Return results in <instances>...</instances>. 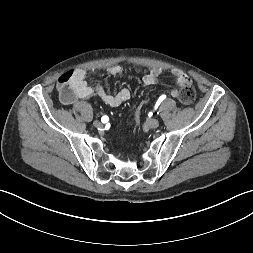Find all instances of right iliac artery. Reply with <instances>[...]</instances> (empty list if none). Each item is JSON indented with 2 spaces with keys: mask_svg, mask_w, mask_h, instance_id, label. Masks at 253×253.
Instances as JSON below:
<instances>
[{
  "mask_svg": "<svg viewBox=\"0 0 253 253\" xmlns=\"http://www.w3.org/2000/svg\"><path fill=\"white\" fill-rule=\"evenodd\" d=\"M101 121H102L103 123L107 122V121H108V117H107V116H103V117L101 118Z\"/></svg>",
  "mask_w": 253,
  "mask_h": 253,
  "instance_id": "1",
  "label": "right iliac artery"
}]
</instances>
